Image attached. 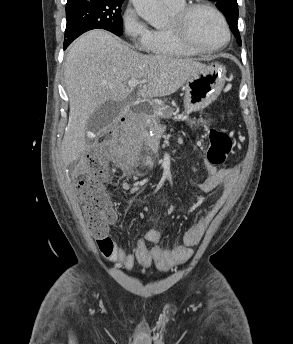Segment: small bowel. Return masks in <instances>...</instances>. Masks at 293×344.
Listing matches in <instances>:
<instances>
[{"label":"small bowel","instance_id":"1","mask_svg":"<svg viewBox=\"0 0 293 344\" xmlns=\"http://www.w3.org/2000/svg\"><path fill=\"white\" fill-rule=\"evenodd\" d=\"M205 170L206 175L197 184L198 192L207 194L221 186L222 193L187 230L180 242L171 248H162L158 245L161 232L153 229L145 234L144 239H139L134 250L129 252L118 245L110 235H105L97 240V246L102 255L126 270L131 269L135 262L143 267L154 263L162 270L185 263L193 254L192 248L199 244L207 226L232 193L239 171L237 167L216 168L209 163H205ZM147 243H151L153 246L148 247Z\"/></svg>","mask_w":293,"mask_h":344}]
</instances>
